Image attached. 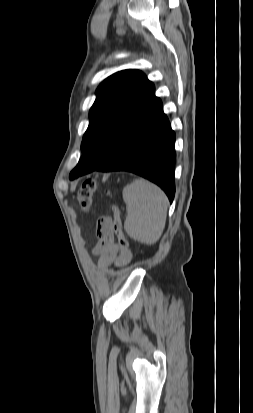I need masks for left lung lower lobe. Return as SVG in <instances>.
<instances>
[{
  "mask_svg": "<svg viewBox=\"0 0 253 413\" xmlns=\"http://www.w3.org/2000/svg\"><path fill=\"white\" fill-rule=\"evenodd\" d=\"M121 138L112 158L98 171H129L159 185L170 202L175 195V133L155 97L138 116L120 126Z\"/></svg>",
  "mask_w": 253,
  "mask_h": 413,
  "instance_id": "obj_1",
  "label": "left lung lower lobe"
}]
</instances>
